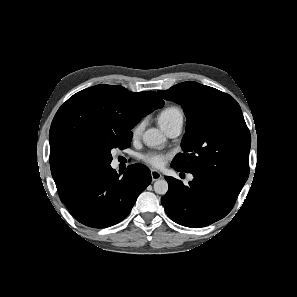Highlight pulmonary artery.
<instances>
[{"instance_id": "1", "label": "pulmonary artery", "mask_w": 297, "mask_h": 297, "mask_svg": "<svg viewBox=\"0 0 297 297\" xmlns=\"http://www.w3.org/2000/svg\"><path fill=\"white\" fill-rule=\"evenodd\" d=\"M182 125H183V122H181V121L180 122H176V123L172 124L171 126H169L165 130V132L170 137H177L181 133Z\"/></svg>"}]
</instances>
